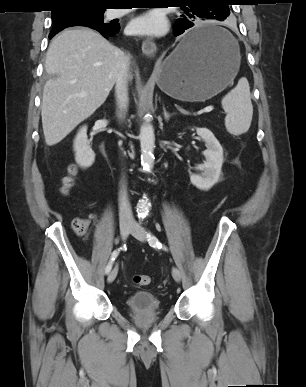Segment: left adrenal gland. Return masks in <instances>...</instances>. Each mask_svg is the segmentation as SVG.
Instances as JSON below:
<instances>
[{"mask_svg":"<svg viewBox=\"0 0 306 387\" xmlns=\"http://www.w3.org/2000/svg\"><path fill=\"white\" fill-rule=\"evenodd\" d=\"M176 113H168L167 111H166V108L164 107V105H163V116H164V119H165V121H169L170 120V118L172 117V116H174Z\"/></svg>","mask_w":306,"mask_h":387,"instance_id":"left-adrenal-gland-1","label":"left adrenal gland"}]
</instances>
